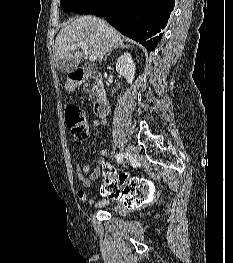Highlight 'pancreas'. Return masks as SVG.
I'll return each mask as SVG.
<instances>
[{
  "label": "pancreas",
  "mask_w": 233,
  "mask_h": 263,
  "mask_svg": "<svg viewBox=\"0 0 233 263\" xmlns=\"http://www.w3.org/2000/svg\"><path fill=\"white\" fill-rule=\"evenodd\" d=\"M95 91H96V86L92 85L91 90H89L90 99H92L94 97Z\"/></svg>",
  "instance_id": "obj_1"
}]
</instances>
